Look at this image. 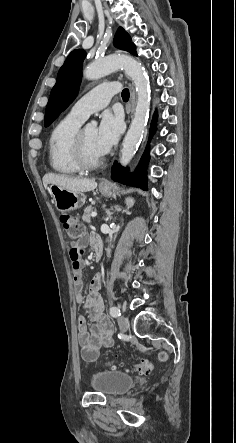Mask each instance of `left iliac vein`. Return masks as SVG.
<instances>
[{
  "instance_id": "obj_1",
  "label": "left iliac vein",
  "mask_w": 236,
  "mask_h": 443,
  "mask_svg": "<svg viewBox=\"0 0 236 443\" xmlns=\"http://www.w3.org/2000/svg\"><path fill=\"white\" fill-rule=\"evenodd\" d=\"M118 324H119L121 331L126 332L128 330L129 323H128V319L126 317L120 316L118 318Z\"/></svg>"
}]
</instances>
